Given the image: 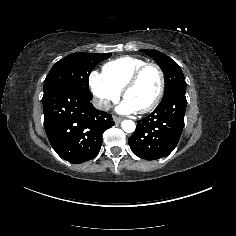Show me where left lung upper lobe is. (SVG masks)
<instances>
[{
  "label": "left lung upper lobe",
  "mask_w": 236,
  "mask_h": 236,
  "mask_svg": "<svg viewBox=\"0 0 236 236\" xmlns=\"http://www.w3.org/2000/svg\"><path fill=\"white\" fill-rule=\"evenodd\" d=\"M147 55L153 56L156 63L160 66L165 78V92L164 96L169 95L173 91L186 90V82L183 72L179 65L165 54L157 51L147 49L143 50Z\"/></svg>",
  "instance_id": "1"
}]
</instances>
